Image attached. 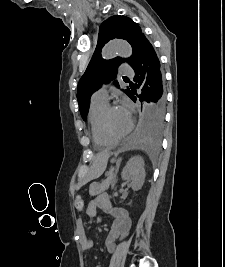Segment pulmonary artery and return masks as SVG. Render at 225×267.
Segmentation results:
<instances>
[{"instance_id":"pulmonary-artery-1","label":"pulmonary artery","mask_w":225,"mask_h":267,"mask_svg":"<svg viewBox=\"0 0 225 267\" xmlns=\"http://www.w3.org/2000/svg\"><path fill=\"white\" fill-rule=\"evenodd\" d=\"M119 73L122 75H130L131 76V75H133V70L128 65L122 64L119 67ZM107 98H108V95H107V90H106L105 85L102 86L101 88H99L97 91H95L92 95V100L106 102Z\"/></svg>"}]
</instances>
